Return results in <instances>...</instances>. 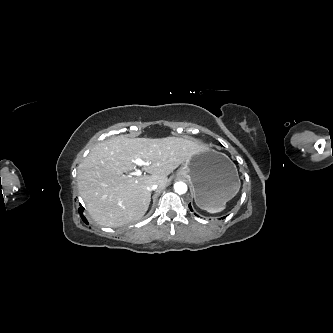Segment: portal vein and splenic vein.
Returning <instances> with one entry per match:
<instances>
[{
	"label": "portal vein and splenic vein",
	"instance_id": "1",
	"mask_svg": "<svg viewBox=\"0 0 333 333\" xmlns=\"http://www.w3.org/2000/svg\"><path fill=\"white\" fill-rule=\"evenodd\" d=\"M133 163H135L137 166H148L149 163L143 161L140 158H136L133 160ZM142 175V171L140 169L135 170L134 172L129 173V176H141Z\"/></svg>",
	"mask_w": 333,
	"mask_h": 333
}]
</instances>
